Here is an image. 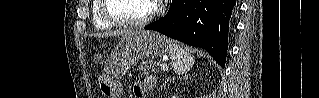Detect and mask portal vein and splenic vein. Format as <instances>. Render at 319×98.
Returning <instances> with one entry per match:
<instances>
[{"label": "portal vein and splenic vein", "mask_w": 319, "mask_h": 98, "mask_svg": "<svg viewBox=\"0 0 319 98\" xmlns=\"http://www.w3.org/2000/svg\"><path fill=\"white\" fill-rule=\"evenodd\" d=\"M160 67H161V70H162V71H167V70H168V66H167V64H165V63H162V64L160 65Z\"/></svg>", "instance_id": "portal-vein-and-splenic-vein-1"}]
</instances>
